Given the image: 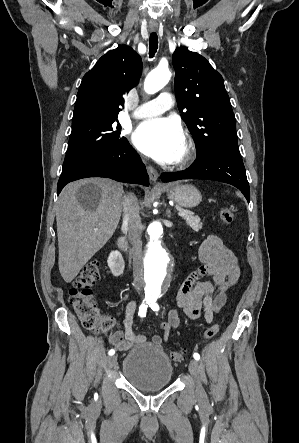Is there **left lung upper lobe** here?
I'll return each mask as SVG.
<instances>
[{"mask_svg":"<svg viewBox=\"0 0 299 443\" xmlns=\"http://www.w3.org/2000/svg\"><path fill=\"white\" fill-rule=\"evenodd\" d=\"M172 59L178 108L196 141L197 156L216 149L240 154L235 116L220 73L203 56L182 47Z\"/></svg>","mask_w":299,"mask_h":443,"instance_id":"obj_1","label":"left lung upper lobe"}]
</instances>
